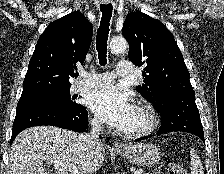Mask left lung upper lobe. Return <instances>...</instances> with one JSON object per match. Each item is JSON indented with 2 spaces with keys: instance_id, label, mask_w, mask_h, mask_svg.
Segmentation results:
<instances>
[{
  "instance_id": "1",
  "label": "left lung upper lobe",
  "mask_w": 224,
  "mask_h": 174,
  "mask_svg": "<svg viewBox=\"0 0 224 174\" xmlns=\"http://www.w3.org/2000/svg\"><path fill=\"white\" fill-rule=\"evenodd\" d=\"M122 34L129 43V58L144 65L145 80L137 90L154 107L166 93L194 94L183 56L171 32L142 12L127 15Z\"/></svg>"
}]
</instances>
